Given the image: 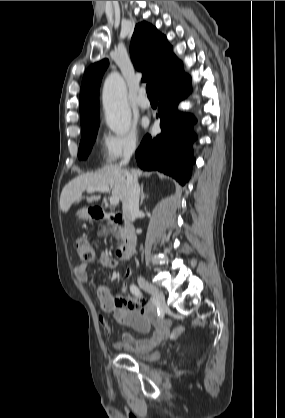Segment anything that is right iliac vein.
<instances>
[{
	"instance_id": "1",
	"label": "right iliac vein",
	"mask_w": 285,
	"mask_h": 418,
	"mask_svg": "<svg viewBox=\"0 0 285 418\" xmlns=\"http://www.w3.org/2000/svg\"><path fill=\"white\" fill-rule=\"evenodd\" d=\"M138 283L140 287L146 292L150 293L162 307L165 305V296L157 286L148 282L143 277L138 278Z\"/></svg>"
}]
</instances>
